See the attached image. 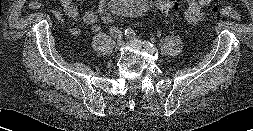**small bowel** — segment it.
<instances>
[{
	"label": "small bowel",
	"mask_w": 253,
	"mask_h": 131,
	"mask_svg": "<svg viewBox=\"0 0 253 131\" xmlns=\"http://www.w3.org/2000/svg\"><path fill=\"white\" fill-rule=\"evenodd\" d=\"M63 13L70 19L81 20L86 24L92 26L93 31H99L100 25L98 20L103 12L107 11L109 0H99L96 9H90L83 13H80L74 4L73 0H59ZM213 0H185L187 8L181 17L183 21L188 24H197L204 16V8L212 3ZM36 3H29V5H35ZM53 14L56 18L61 19L62 14L58 10H53ZM71 33L78 35L80 30L78 28H72Z\"/></svg>",
	"instance_id": "c3829d8e"
}]
</instances>
